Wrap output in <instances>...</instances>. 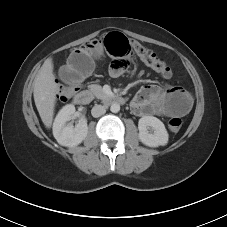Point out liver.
Wrapping results in <instances>:
<instances>
[{
  "mask_svg": "<svg viewBox=\"0 0 227 227\" xmlns=\"http://www.w3.org/2000/svg\"><path fill=\"white\" fill-rule=\"evenodd\" d=\"M52 59H47L34 80V101L42 122L50 128L54 116L56 94L59 87L55 82Z\"/></svg>",
  "mask_w": 227,
  "mask_h": 227,
  "instance_id": "1",
  "label": "liver"
}]
</instances>
